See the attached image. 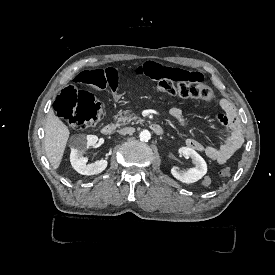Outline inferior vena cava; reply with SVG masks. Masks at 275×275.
<instances>
[{"instance_id": "602c4592", "label": "inferior vena cava", "mask_w": 275, "mask_h": 275, "mask_svg": "<svg viewBox=\"0 0 275 275\" xmlns=\"http://www.w3.org/2000/svg\"><path fill=\"white\" fill-rule=\"evenodd\" d=\"M134 132H135L134 127H125V128L118 130V133L121 135H126V134L132 135Z\"/></svg>"}]
</instances>
